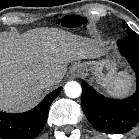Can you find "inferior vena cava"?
Here are the masks:
<instances>
[{
    "label": "inferior vena cava",
    "mask_w": 139,
    "mask_h": 139,
    "mask_svg": "<svg viewBox=\"0 0 139 139\" xmlns=\"http://www.w3.org/2000/svg\"><path fill=\"white\" fill-rule=\"evenodd\" d=\"M54 84V79L51 76H45L39 81V87L44 89Z\"/></svg>",
    "instance_id": "1"
}]
</instances>
